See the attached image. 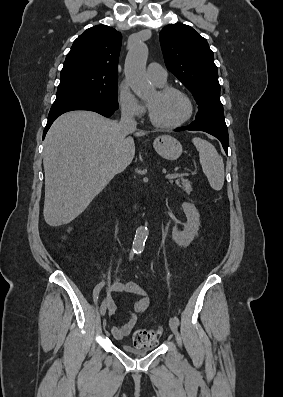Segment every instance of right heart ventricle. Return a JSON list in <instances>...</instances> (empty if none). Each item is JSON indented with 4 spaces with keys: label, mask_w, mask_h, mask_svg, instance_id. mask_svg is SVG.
I'll list each match as a JSON object with an SVG mask.
<instances>
[{
    "label": "right heart ventricle",
    "mask_w": 283,
    "mask_h": 397,
    "mask_svg": "<svg viewBox=\"0 0 283 397\" xmlns=\"http://www.w3.org/2000/svg\"><path fill=\"white\" fill-rule=\"evenodd\" d=\"M155 83V82H154ZM157 86H159V87H161V86H164V84H165V82L164 83H155Z\"/></svg>",
    "instance_id": "1"
}]
</instances>
